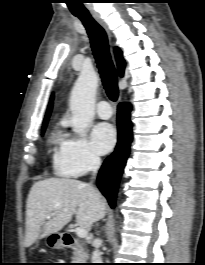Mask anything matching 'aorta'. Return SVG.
I'll return each mask as SVG.
<instances>
[{
  "label": "aorta",
  "instance_id": "aorta-1",
  "mask_svg": "<svg viewBox=\"0 0 205 265\" xmlns=\"http://www.w3.org/2000/svg\"><path fill=\"white\" fill-rule=\"evenodd\" d=\"M98 81V75L94 70L83 69L72 89L70 97L71 125L76 133L84 132L93 121Z\"/></svg>",
  "mask_w": 205,
  "mask_h": 265
}]
</instances>
